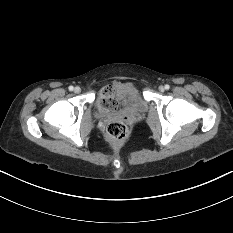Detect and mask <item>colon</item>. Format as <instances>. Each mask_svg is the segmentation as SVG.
I'll list each match as a JSON object with an SVG mask.
<instances>
[{"mask_svg":"<svg viewBox=\"0 0 233 233\" xmlns=\"http://www.w3.org/2000/svg\"><path fill=\"white\" fill-rule=\"evenodd\" d=\"M110 90L105 88L103 90V97L101 103L106 108H114L117 105L116 100L109 96ZM108 95V96H106ZM106 136L109 142L112 144L123 143L129 136V130L127 125L122 121H113L109 123L106 130Z\"/></svg>","mask_w":233,"mask_h":233,"instance_id":"obj_1","label":"colon"}]
</instances>
